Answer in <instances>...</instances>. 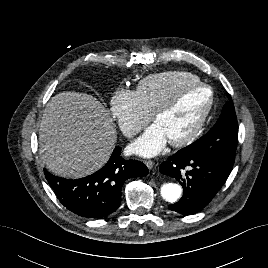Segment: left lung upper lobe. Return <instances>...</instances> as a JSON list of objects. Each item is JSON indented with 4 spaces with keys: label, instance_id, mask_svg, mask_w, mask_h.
<instances>
[{
    "label": "left lung upper lobe",
    "instance_id": "left-lung-upper-lobe-1",
    "mask_svg": "<svg viewBox=\"0 0 268 268\" xmlns=\"http://www.w3.org/2000/svg\"><path fill=\"white\" fill-rule=\"evenodd\" d=\"M238 142V123L233 102L223 107L220 118L207 134L180 150L184 155L213 157L233 165Z\"/></svg>",
    "mask_w": 268,
    "mask_h": 268
}]
</instances>
